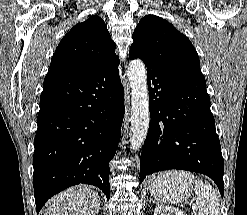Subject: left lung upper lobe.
Segmentation results:
<instances>
[{
	"label": "left lung upper lobe",
	"mask_w": 247,
	"mask_h": 215,
	"mask_svg": "<svg viewBox=\"0 0 247 215\" xmlns=\"http://www.w3.org/2000/svg\"><path fill=\"white\" fill-rule=\"evenodd\" d=\"M130 54L160 67L204 78L198 54L190 40L168 21L146 15L137 25Z\"/></svg>",
	"instance_id": "obj_1"
}]
</instances>
